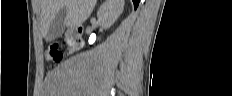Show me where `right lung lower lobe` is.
Here are the masks:
<instances>
[{
  "label": "right lung lower lobe",
  "mask_w": 232,
  "mask_h": 96,
  "mask_svg": "<svg viewBox=\"0 0 232 96\" xmlns=\"http://www.w3.org/2000/svg\"><path fill=\"white\" fill-rule=\"evenodd\" d=\"M139 1H140V0H133L135 9L137 8V6H138V4H139Z\"/></svg>",
  "instance_id": "obj_1"
}]
</instances>
